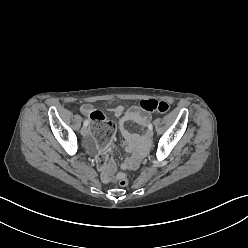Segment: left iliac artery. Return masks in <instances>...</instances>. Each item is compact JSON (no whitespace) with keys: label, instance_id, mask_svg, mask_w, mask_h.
Wrapping results in <instances>:
<instances>
[{"label":"left iliac artery","instance_id":"1","mask_svg":"<svg viewBox=\"0 0 248 248\" xmlns=\"http://www.w3.org/2000/svg\"><path fill=\"white\" fill-rule=\"evenodd\" d=\"M148 129H150V130H152L153 129V126H152V124H148Z\"/></svg>","mask_w":248,"mask_h":248}]
</instances>
